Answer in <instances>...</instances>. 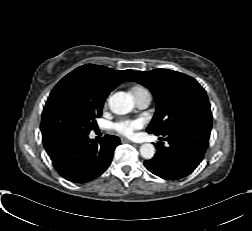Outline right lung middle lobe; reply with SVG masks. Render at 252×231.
<instances>
[{
	"mask_svg": "<svg viewBox=\"0 0 252 231\" xmlns=\"http://www.w3.org/2000/svg\"><path fill=\"white\" fill-rule=\"evenodd\" d=\"M105 97L89 94L79 85L64 83L52 90L42 113L41 132L46 151L64 141L86 136L102 114Z\"/></svg>",
	"mask_w": 252,
	"mask_h": 231,
	"instance_id": "dd1d6c3e",
	"label": "right lung middle lobe"
}]
</instances>
